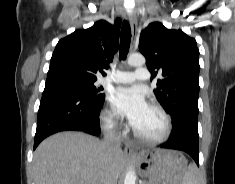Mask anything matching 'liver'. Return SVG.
Wrapping results in <instances>:
<instances>
[{
    "label": "liver",
    "mask_w": 235,
    "mask_h": 184,
    "mask_svg": "<svg viewBox=\"0 0 235 184\" xmlns=\"http://www.w3.org/2000/svg\"><path fill=\"white\" fill-rule=\"evenodd\" d=\"M124 160L110 154L94 136L59 132L39 144L34 152L35 184H115Z\"/></svg>",
    "instance_id": "1"
}]
</instances>
